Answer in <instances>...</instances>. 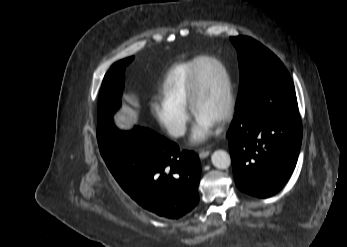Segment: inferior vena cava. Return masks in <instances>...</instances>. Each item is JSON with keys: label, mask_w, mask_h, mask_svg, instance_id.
Wrapping results in <instances>:
<instances>
[{"label": "inferior vena cava", "mask_w": 347, "mask_h": 247, "mask_svg": "<svg viewBox=\"0 0 347 247\" xmlns=\"http://www.w3.org/2000/svg\"><path fill=\"white\" fill-rule=\"evenodd\" d=\"M185 130H186V127L184 124H176L171 126L170 133L175 137H179L184 135Z\"/></svg>", "instance_id": "inferior-vena-cava-1"}]
</instances>
